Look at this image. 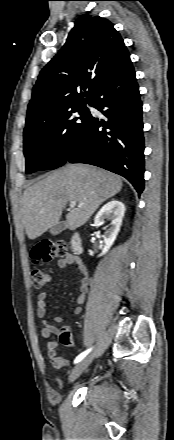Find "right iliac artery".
<instances>
[{"label":"right iliac artery","instance_id":"82829eb1","mask_svg":"<svg viewBox=\"0 0 174 440\" xmlns=\"http://www.w3.org/2000/svg\"><path fill=\"white\" fill-rule=\"evenodd\" d=\"M90 351H91V348L88 349V350H86V351H84V352H82L80 355H78V356L76 357V359L74 360V363H78V362H80L83 358L86 357V355H87Z\"/></svg>","mask_w":174,"mask_h":440}]
</instances>
